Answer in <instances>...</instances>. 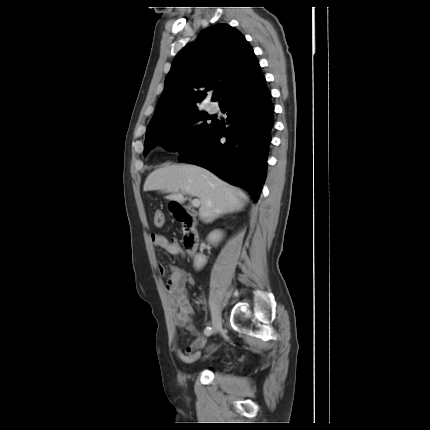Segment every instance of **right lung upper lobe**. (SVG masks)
<instances>
[{"label": "right lung upper lobe", "instance_id": "cb5924a9", "mask_svg": "<svg viewBox=\"0 0 430 430\" xmlns=\"http://www.w3.org/2000/svg\"><path fill=\"white\" fill-rule=\"evenodd\" d=\"M262 76L254 51L234 27L219 23L205 29L195 44L175 56L148 129L184 111L195 109L213 91L212 100L225 102L245 79Z\"/></svg>", "mask_w": 430, "mask_h": 430}]
</instances>
